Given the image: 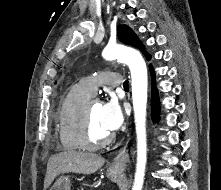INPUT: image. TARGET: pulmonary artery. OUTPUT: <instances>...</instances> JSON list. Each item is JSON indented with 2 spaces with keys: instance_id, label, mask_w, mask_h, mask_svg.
Segmentation results:
<instances>
[{
  "instance_id": "1",
  "label": "pulmonary artery",
  "mask_w": 221,
  "mask_h": 190,
  "mask_svg": "<svg viewBox=\"0 0 221 190\" xmlns=\"http://www.w3.org/2000/svg\"><path fill=\"white\" fill-rule=\"evenodd\" d=\"M124 83L123 76L120 73L111 71H102L97 74L87 76L80 81L81 86L92 96L100 85L122 86Z\"/></svg>"
}]
</instances>
